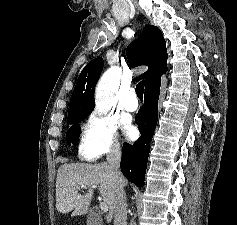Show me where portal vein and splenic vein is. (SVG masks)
Here are the masks:
<instances>
[{"label":"portal vein and splenic vein","mask_w":237,"mask_h":225,"mask_svg":"<svg viewBox=\"0 0 237 225\" xmlns=\"http://www.w3.org/2000/svg\"><path fill=\"white\" fill-rule=\"evenodd\" d=\"M87 186L83 185L81 186V189H86ZM80 189V188H79ZM100 209L103 211V212H107L108 211V206L105 204V203H100Z\"/></svg>","instance_id":"18ae733b"}]
</instances>
